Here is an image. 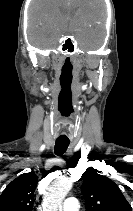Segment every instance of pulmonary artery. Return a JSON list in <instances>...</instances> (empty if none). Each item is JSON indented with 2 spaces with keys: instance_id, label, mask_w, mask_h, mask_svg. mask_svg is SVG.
<instances>
[{
  "instance_id": "1",
  "label": "pulmonary artery",
  "mask_w": 133,
  "mask_h": 211,
  "mask_svg": "<svg viewBox=\"0 0 133 211\" xmlns=\"http://www.w3.org/2000/svg\"><path fill=\"white\" fill-rule=\"evenodd\" d=\"M63 211H79L78 200L74 197L67 198L63 203Z\"/></svg>"
}]
</instances>
